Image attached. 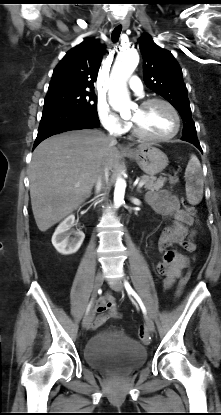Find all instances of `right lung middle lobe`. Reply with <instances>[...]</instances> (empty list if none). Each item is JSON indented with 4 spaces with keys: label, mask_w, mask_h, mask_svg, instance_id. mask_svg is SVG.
Masks as SVG:
<instances>
[{
    "label": "right lung middle lobe",
    "mask_w": 221,
    "mask_h": 415,
    "mask_svg": "<svg viewBox=\"0 0 221 415\" xmlns=\"http://www.w3.org/2000/svg\"><path fill=\"white\" fill-rule=\"evenodd\" d=\"M44 107H67L98 116L96 95L84 89L47 93Z\"/></svg>",
    "instance_id": "dd1d6c3e"
}]
</instances>
